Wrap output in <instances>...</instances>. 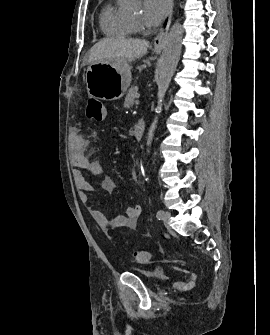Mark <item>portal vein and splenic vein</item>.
I'll list each match as a JSON object with an SVG mask.
<instances>
[{"label": "portal vein and splenic vein", "mask_w": 270, "mask_h": 335, "mask_svg": "<svg viewBox=\"0 0 270 335\" xmlns=\"http://www.w3.org/2000/svg\"><path fill=\"white\" fill-rule=\"evenodd\" d=\"M136 104H139V100H136Z\"/></svg>", "instance_id": "obj_1"}]
</instances>
